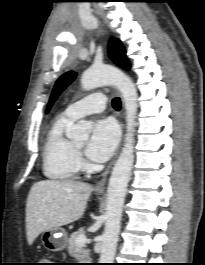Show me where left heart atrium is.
<instances>
[{
  "label": "left heart atrium",
  "mask_w": 205,
  "mask_h": 265,
  "mask_svg": "<svg viewBox=\"0 0 205 265\" xmlns=\"http://www.w3.org/2000/svg\"><path fill=\"white\" fill-rule=\"evenodd\" d=\"M118 140L119 130L116 123L110 118L100 119L93 127L86 146V155L95 162H104L114 152Z\"/></svg>",
  "instance_id": "left-heart-atrium-1"
}]
</instances>
